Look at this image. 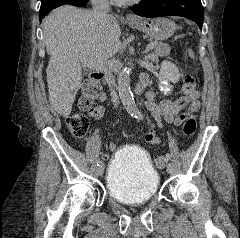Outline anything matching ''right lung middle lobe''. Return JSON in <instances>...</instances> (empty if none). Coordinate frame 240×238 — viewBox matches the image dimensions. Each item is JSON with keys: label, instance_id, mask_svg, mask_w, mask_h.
Here are the masks:
<instances>
[{"label": "right lung middle lobe", "instance_id": "right-lung-middle-lobe-1", "mask_svg": "<svg viewBox=\"0 0 240 238\" xmlns=\"http://www.w3.org/2000/svg\"><path fill=\"white\" fill-rule=\"evenodd\" d=\"M70 0H41L39 16L44 15L53 9L58 3H68Z\"/></svg>", "mask_w": 240, "mask_h": 238}]
</instances>
